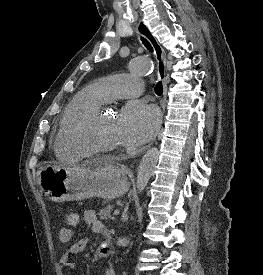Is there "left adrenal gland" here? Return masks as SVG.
<instances>
[{"label":"left adrenal gland","instance_id":"1","mask_svg":"<svg viewBox=\"0 0 263 275\" xmlns=\"http://www.w3.org/2000/svg\"><path fill=\"white\" fill-rule=\"evenodd\" d=\"M127 220H128L127 212H126V210H124L123 215H122V221L126 222Z\"/></svg>","mask_w":263,"mask_h":275}]
</instances>
